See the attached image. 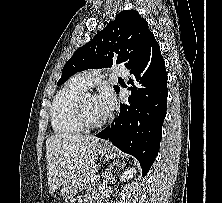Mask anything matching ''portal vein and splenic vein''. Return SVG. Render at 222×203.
Here are the masks:
<instances>
[{"mask_svg":"<svg viewBox=\"0 0 222 203\" xmlns=\"http://www.w3.org/2000/svg\"><path fill=\"white\" fill-rule=\"evenodd\" d=\"M97 178H98V176L92 178L91 181H95V180H97Z\"/></svg>","mask_w":222,"mask_h":203,"instance_id":"1","label":"portal vein and splenic vein"}]
</instances>
